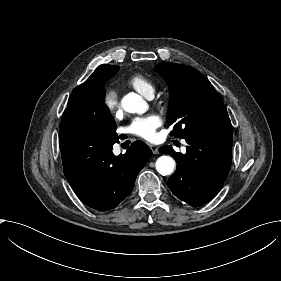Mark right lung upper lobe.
Listing matches in <instances>:
<instances>
[{
  "label": "right lung upper lobe",
  "mask_w": 281,
  "mask_h": 281,
  "mask_svg": "<svg viewBox=\"0 0 281 281\" xmlns=\"http://www.w3.org/2000/svg\"><path fill=\"white\" fill-rule=\"evenodd\" d=\"M119 66H113L109 64H104L98 67L94 73L81 85L74 88V90H80L85 88H95L96 92L93 95L94 99L102 100L105 94L104 83L107 79L118 72Z\"/></svg>",
  "instance_id": "obj_1"
}]
</instances>
